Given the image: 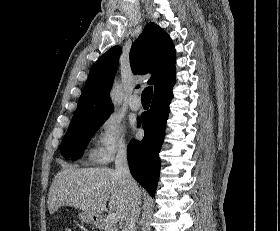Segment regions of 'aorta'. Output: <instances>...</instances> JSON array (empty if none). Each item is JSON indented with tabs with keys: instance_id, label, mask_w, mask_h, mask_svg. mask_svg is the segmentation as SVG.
Masks as SVG:
<instances>
[{
	"instance_id": "aorta-1",
	"label": "aorta",
	"mask_w": 280,
	"mask_h": 231,
	"mask_svg": "<svg viewBox=\"0 0 280 231\" xmlns=\"http://www.w3.org/2000/svg\"><path fill=\"white\" fill-rule=\"evenodd\" d=\"M110 98H111L114 106H120V104L122 102V92H121V86H119V84H117V82H115V84L111 90Z\"/></svg>"
}]
</instances>
